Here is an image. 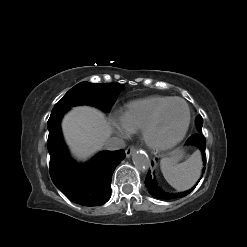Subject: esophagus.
<instances>
[{
    "instance_id": "34e87169",
    "label": "esophagus",
    "mask_w": 247,
    "mask_h": 247,
    "mask_svg": "<svg viewBox=\"0 0 247 247\" xmlns=\"http://www.w3.org/2000/svg\"><path fill=\"white\" fill-rule=\"evenodd\" d=\"M135 151V147L134 146H129L126 150H125V153H126V157H130Z\"/></svg>"
}]
</instances>
